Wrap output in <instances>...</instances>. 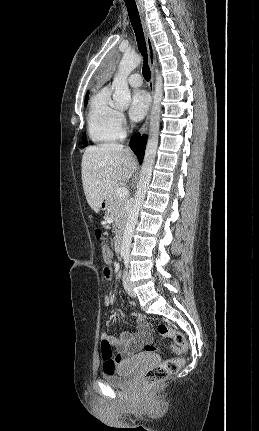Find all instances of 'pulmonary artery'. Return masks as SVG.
Here are the masks:
<instances>
[{
    "mask_svg": "<svg viewBox=\"0 0 259 431\" xmlns=\"http://www.w3.org/2000/svg\"><path fill=\"white\" fill-rule=\"evenodd\" d=\"M128 83L132 87H139L142 85V78L139 74L135 73L129 76Z\"/></svg>",
    "mask_w": 259,
    "mask_h": 431,
    "instance_id": "1",
    "label": "pulmonary artery"
}]
</instances>
